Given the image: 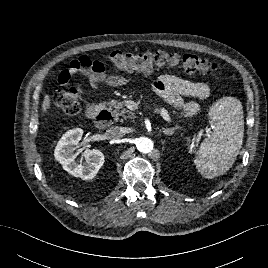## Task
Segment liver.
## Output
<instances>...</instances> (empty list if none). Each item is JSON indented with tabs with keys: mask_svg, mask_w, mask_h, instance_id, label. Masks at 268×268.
Returning a JSON list of instances; mask_svg holds the SVG:
<instances>
[{
	"mask_svg": "<svg viewBox=\"0 0 268 268\" xmlns=\"http://www.w3.org/2000/svg\"><path fill=\"white\" fill-rule=\"evenodd\" d=\"M51 98L48 94L45 95L43 104H42V110L43 113H46L47 110L50 108Z\"/></svg>",
	"mask_w": 268,
	"mask_h": 268,
	"instance_id": "1",
	"label": "liver"
}]
</instances>
